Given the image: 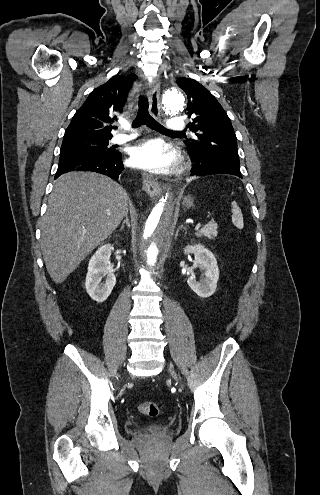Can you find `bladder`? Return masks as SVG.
<instances>
[{
    "label": "bladder",
    "instance_id": "1",
    "mask_svg": "<svg viewBox=\"0 0 320 495\" xmlns=\"http://www.w3.org/2000/svg\"><path fill=\"white\" fill-rule=\"evenodd\" d=\"M143 431L148 433L164 432L168 429V426L164 423H151L142 427Z\"/></svg>",
    "mask_w": 320,
    "mask_h": 495
}]
</instances>
